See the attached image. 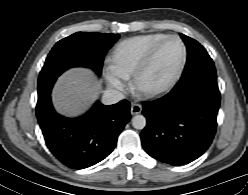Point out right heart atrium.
Wrapping results in <instances>:
<instances>
[{
	"label": "right heart atrium",
	"mask_w": 248,
	"mask_h": 195,
	"mask_svg": "<svg viewBox=\"0 0 248 195\" xmlns=\"http://www.w3.org/2000/svg\"><path fill=\"white\" fill-rule=\"evenodd\" d=\"M125 77L119 73H116L113 68H110V72L107 75V81L110 87L118 90H122L126 86Z\"/></svg>",
	"instance_id": "right-heart-atrium-1"
}]
</instances>
